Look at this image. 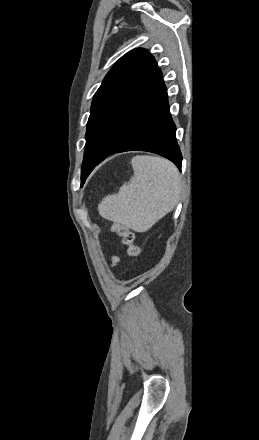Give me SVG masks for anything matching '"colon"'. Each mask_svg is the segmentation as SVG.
I'll return each mask as SVG.
<instances>
[{
	"label": "colon",
	"instance_id": "colon-1",
	"mask_svg": "<svg viewBox=\"0 0 259 440\" xmlns=\"http://www.w3.org/2000/svg\"><path fill=\"white\" fill-rule=\"evenodd\" d=\"M112 231L122 238L123 243L127 246L128 254L132 257H136L140 249L135 243V236L127 227L119 223L112 225Z\"/></svg>",
	"mask_w": 259,
	"mask_h": 440
}]
</instances>
